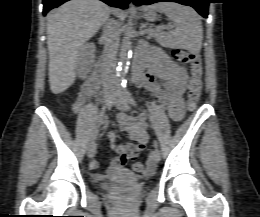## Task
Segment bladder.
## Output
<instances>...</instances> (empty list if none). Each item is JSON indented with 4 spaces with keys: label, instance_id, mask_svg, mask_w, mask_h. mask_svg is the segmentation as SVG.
Segmentation results:
<instances>
[{
    "label": "bladder",
    "instance_id": "1",
    "mask_svg": "<svg viewBox=\"0 0 260 217\" xmlns=\"http://www.w3.org/2000/svg\"><path fill=\"white\" fill-rule=\"evenodd\" d=\"M137 178H138V175L128 169L119 170L116 173V177H115L117 182H131V181L136 180ZM139 187L142 189L143 185H140Z\"/></svg>",
    "mask_w": 260,
    "mask_h": 217
}]
</instances>
